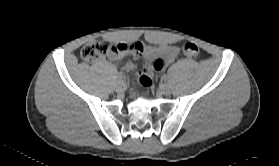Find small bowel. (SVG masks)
<instances>
[{
	"instance_id": "small-bowel-1",
	"label": "small bowel",
	"mask_w": 279,
	"mask_h": 166,
	"mask_svg": "<svg viewBox=\"0 0 279 166\" xmlns=\"http://www.w3.org/2000/svg\"><path fill=\"white\" fill-rule=\"evenodd\" d=\"M142 51L140 53H134L136 57L144 56L149 59L148 73L153 71H161L168 64L172 63L178 56V48L171 45H162L159 47H153L150 45H142ZM110 60H117L120 55L108 54ZM136 67L133 61H127L125 63L126 70H133Z\"/></svg>"
}]
</instances>
